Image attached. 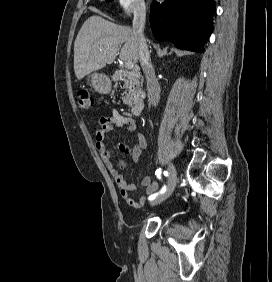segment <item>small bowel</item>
<instances>
[{
  "label": "small bowel",
  "instance_id": "obj_1",
  "mask_svg": "<svg viewBox=\"0 0 272 282\" xmlns=\"http://www.w3.org/2000/svg\"><path fill=\"white\" fill-rule=\"evenodd\" d=\"M112 128H118V129L127 128L130 131H135L136 123L133 119L125 117L119 114L117 111H112L108 117L101 118L99 120V128L95 133L96 148L99 151H101L103 148L102 139L104 136V131ZM136 136H137V143L131 151L132 159L135 162L139 160L141 152L147 147L146 136L143 133L137 131H136ZM103 160L107 170L112 175L122 198L130 206H133L135 208H141L145 204L146 201L145 196H140L137 199H134L131 196V193L135 190V185L129 183L125 179V177L115 168V166L109 159L103 157ZM141 185L144 187L147 195H151L152 193L156 192L159 188V183L153 181L149 176H145L141 180Z\"/></svg>",
  "mask_w": 272,
  "mask_h": 282
}]
</instances>
